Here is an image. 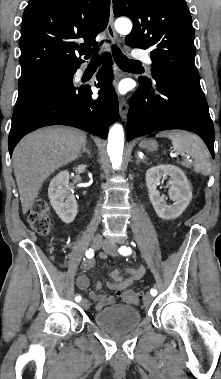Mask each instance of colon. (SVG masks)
<instances>
[{
  "instance_id": "colon-1",
  "label": "colon",
  "mask_w": 221,
  "mask_h": 379,
  "mask_svg": "<svg viewBox=\"0 0 221 379\" xmlns=\"http://www.w3.org/2000/svg\"><path fill=\"white\" fill-rule=\"evenodd\" d=\"M30 227L40 235H47L52 228L49 205L44 200L33 203L28 215ZM119 297L127 303L138 304L142 299L140 292L127 290L118 293Z\"/></svg>"
}]
</instances>
